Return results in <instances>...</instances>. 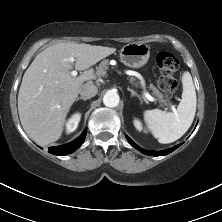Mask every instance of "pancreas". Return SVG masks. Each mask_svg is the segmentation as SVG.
<instances>
[{"mask_svg": "<svg viewBox=\"0 0 222 222\" xmlns=\"http://www.w3.org/2000/svg\"><path fill=\"white\" fill-rule=\"evenodd\" d=\"M108 65H109V60H103L99 64V66L96 68L97 75L104 76L106 74V70L109 68ZM134 80H135L134 78H131V81H134ZM141 85L143 86L142 82H141ZM149 88L152 90L153 94L159 98L161 103H164L165 105L167 104V100L163 99V95L153 84H150Z\"/></svg>", "mask_w": 222, "mask_h": 222, "instance_id": "cf45deb5", "label": "pancreas"}]
</instances>
